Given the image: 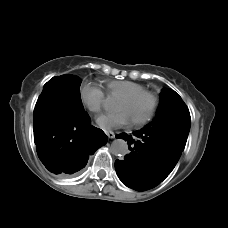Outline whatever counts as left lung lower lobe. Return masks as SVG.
Masks as SVG:
<instances>
[{"instance_id": "1", "label": "left lung lower lobe", "mask_w": 228, "mask_h": 228, "mask_svg": "<svg viewBox=\"0 0 228 228\" xmlns=\"http://www.w3.org/2000/svg\"><path fill=\"white\" fill-rule=\"evenodd\" d=\"M128 142L131 153L115 161L120 180L136 190L150 189L164 180L176 165L188 134L168 129L142 128L133 135L116 136Z\"/></svg>"}]
</instances>
